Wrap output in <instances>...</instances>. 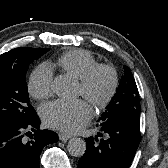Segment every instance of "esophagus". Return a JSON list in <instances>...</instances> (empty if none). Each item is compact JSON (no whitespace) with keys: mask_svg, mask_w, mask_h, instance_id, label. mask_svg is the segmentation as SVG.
Returning <instances> with one entry per match:
<instances>
[{"mask_svg":"<svg viewBox=\"0 0 168 168\" xmlns=\"http://www.w3.org/2000/svg\"><path fill=\"white\" fill-rule=\"evenodd\" d=\"M72 136L66 133H59V139L61 141H67L71 138Z\"/></svg>","mask_w":168,"mask_h":168,"instance_id":"34e87169","label":"esophagus"}]
</instances>
